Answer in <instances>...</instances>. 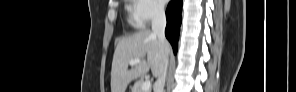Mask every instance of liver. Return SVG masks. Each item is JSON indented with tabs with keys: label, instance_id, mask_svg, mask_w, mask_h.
<instances>
[{
	"label": "liver",
	"instance_id": "obj_1",
	"mask_svg": "<svg viewBox=\"0 0 296 92\" xmlns=\"http://www.w3.org/2000/svg\"><path fill=\"white\" fill-rule=\"evenodd\" d=\"M169 51V44L163 49L158 37L149 29L121 38L113 55L111 92H125L131 81L146 75L149 69L154 77L160 76L163 71L164 53L168 54ZM133 59H140V63L128 69L129 62Z\"/></svg>",
	"mask_w": 296,
	"mask_h": 92
}]
</instances>
